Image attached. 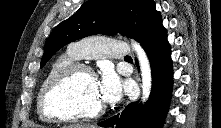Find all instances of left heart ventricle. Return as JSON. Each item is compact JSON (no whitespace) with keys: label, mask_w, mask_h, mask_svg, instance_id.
I'll list each match as a JSON object with an SVG mask.
<instances>
[{"label":"left heart ventricle","mask_w":221,"mask_h":128,"mask_svg":"<svg viewBox=\"0 0 221 128\" xmlns=\"http://www.w3.org/2000/svg\"><path fill=\"white\" fill-rule=\"evenodd\" d=\"M102 104L96 79L86 73L75 75L50 98L51 107L65 113L92 111Z\"/></svg>","instance_id":"obj_1"}]
</instances>
